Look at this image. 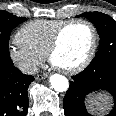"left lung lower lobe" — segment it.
Segmentation results:
<instances>
[{
  "label": "left lung lower lobe",
  "instance_id": "0a47b994",
  "mask_svg": "<svg viewBox=\"0 0 116 116\" xmlns=\"http://www.w3.org/2000/svg\"><path fill=\"white\" fill-rule=\"evenodd\" d=\"M98 91H107L113 99V108L105 116H116V58L92 60L86 69L72 76L63 99L65 116H94L87 111L85 100Z\"/></svg>",
  "mask_w": 116,
  "mask_h": 116
}]
</instances>
